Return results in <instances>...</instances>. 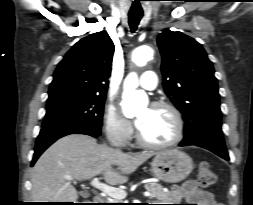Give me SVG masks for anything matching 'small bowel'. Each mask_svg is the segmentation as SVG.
Instances as JSON below:
<instances>
[{"instance_id": "small-bowel-1", "label": "small bowel", "mask_w": 253, "mask_h": 205, "mask_svg": "<svg viewBox=\"0 0 253 205\" xmlns=\"http://www.w3.org/2000/svg\"><path fill=\"white\" fill-rule=\"evenodd\" d=\"M178 201L194 202L191 205H223L218 203L208 191L201 189L195 181H188L174 192Z\"/></svg>"}]
</instances>
